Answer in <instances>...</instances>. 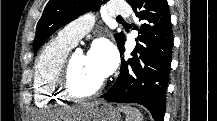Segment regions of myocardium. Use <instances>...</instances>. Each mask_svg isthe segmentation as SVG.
<instances>
[{"label":"myocardium","instance_id":"1","mask_svg":"<svg viewBox=\"0 0 217 121\" xmlns=\"http://www.w3.org/2000/svg\"><path fill=\"white\" fill-rule=\"evenodd\" d=\"M74 55L67 56L65 59L57 78V87L60 95L66 99L73 101H88L98 96L105 87V80L92 91L87 93L77 92L71 83V71L73 65Z\"/></svg>","mask_w":217,"mask_h":121}]
</instances>
